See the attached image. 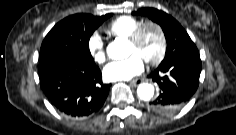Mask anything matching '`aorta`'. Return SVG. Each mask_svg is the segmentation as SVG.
Listing matches in <instances>:
<instances>
[{"label": "aorta", "instance_id": "obj_1", "mask_svg": "<svg viewBox=\"0 0 236 135\" xmlns=\"http://www.w3.org/2000/svg\"><path fill=\"white\" fill-rule=\"evenodd\" d=\"M107 54L114 60L124 58L126 56V41L115 39L108 45ZM137 94L141 100L149 101L154 95V86L149 83H141L137 88Z\"/></svg>", "mask_w": 236, "mask_h": 135}]
</instances>
